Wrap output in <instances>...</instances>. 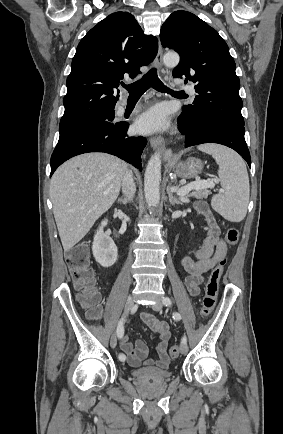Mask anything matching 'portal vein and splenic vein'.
I'll return each mask as SVG.
<instances>
[{"label":"portal vein and splenic vein","mask_w":283,"mask_h":434,"mask_svg":"<svg viewBox=\"0 0 283 434\" xmlns=\"http://www.w3.org/2000/svg\"><path fill=\"white\" fill-rule=\"evenodd\" d=\"M200 187H208V188H213L215 187V184L213 181L211 180H198V181H194L180 189L177 190V195L183 197L185 195H187L192 189L194 188H200Z\"/></svg>","instance_id":"18ae733b"}]
</instances>
